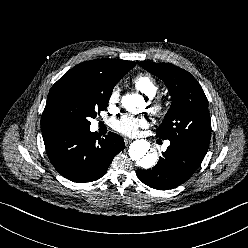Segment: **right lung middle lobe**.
Masks as SVG:
<instances>
[{"mask_svg":"<svg viewBox=\"0 0 248 248\" xmlns=\"http://www.w3.org/2000/svg\"><path fill=\"white\" fill-rule=\"evenodd\" d=\"M115 82L100 76L60 78L51 88L41 118V131L87 129L105 110Z\"/></svg>","mask_w":248,"mask_h":248,"instance_id":"1","label":"right lung middle lobe"}]
</instances>
